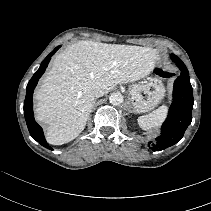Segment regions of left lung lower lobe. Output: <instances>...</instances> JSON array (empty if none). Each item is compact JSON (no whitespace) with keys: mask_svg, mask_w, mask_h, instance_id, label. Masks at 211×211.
I'll list each match as a JSON object with an SVG mask.
<instances>
[{"mask_svg":"<svg viewBox=\"0 0 211 211\" xmlns=\"http://www.w3.org/2000/svg\"><path fill=\"white\" fill-rule=\"evenodd\" d=\"M177 66L181 74L174 82L173 102L168 117L162 125L160 136L156 141L148 142V147L153 151H161L178 143L192 121L194 99L189 72L184 64Z\"/></svg>","mask_w":211,"mask_h":211,"instance_id":"0a47b994","label":"left lung lower lobe"}]
</instances>
